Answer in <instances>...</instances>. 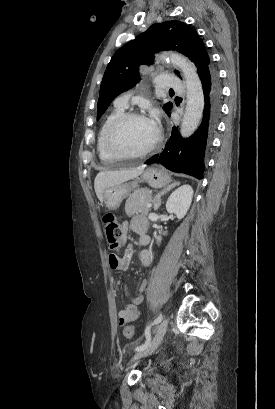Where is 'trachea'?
I'll use <instances>...</instances> for the list:
<instances>
[{
	"mask_svg": "<svg viewBox=\"0 0 275 409\" xmlns=\"http://www.w3.org/2000/svg\"><path fill=\"white\" fill-rule=\"evenodd\" d=\"M170 91H174L172 88H170Z\"/></svg>",
	"mask_w": 275,
	"mask_h": 409,
	"instance_id": "obj_1",
	"label": "trachea"
}]
</instances>
